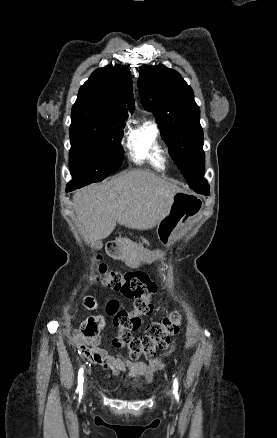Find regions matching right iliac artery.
<instances>
[{"label": "right iliac artery", "instance_id": "obj_1", "mask_svg": "<svg viewBox=\"0 0 277 438\" xmlns=\"http://www.w3.org/2000/svg\"><path fill=\"white\" fill-rule=\"evenodd\" d=\"M83 368H81L78 372V387H77V393H79V396H82L83 393V382H84V378H83Z\"/></svg>", "mask_w": 277, "mask_h": 438}]
</instances>
